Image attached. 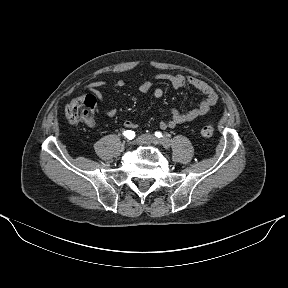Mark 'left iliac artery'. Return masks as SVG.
Listing matches in <instances>:
<instances>
[{"label": "left iliac artery", "instance_id": "left-iliac-artery-1", "mask_svg": "<svg viewBox=\"0 0 288 288\" xmlns=\"http://www.w3.org/2000/svg\"><path fill=\"white\" fill-rule=\"evenodd\" d=\"M155 136L158 137V138H161L162 137V133L157 131V132H155Z\"/></svg>", "mask_w": 288, "mask_h": 288}]
</instances>
